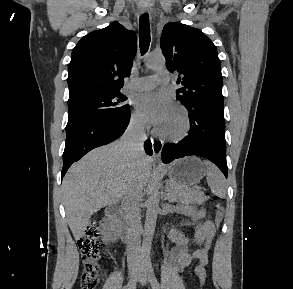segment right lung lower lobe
I'll return each mask as SVG.
<instances>
[{
	"label": "right lung lower lobe",
	"mask_w": 293,
	"mask_h": 289,
	"mask_svg": "<svg viewBox=\"0 0 293 289\" xmlns=\"http://www.w3.org/2000/svg\"><path fill=\"white\" fill-rule=\"evenodd\" d=\"M129 120L130 109L123 113L88 121L67 130L61 177L63 178L68 168L87 152L119 138L126 130ZM144 149L147 154L152 155L150 141H145Z\"/></svg>",
	"instance_id": "98d812e1"
}]
</instances>
